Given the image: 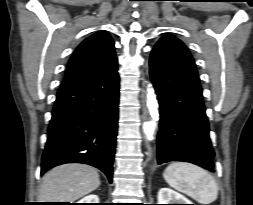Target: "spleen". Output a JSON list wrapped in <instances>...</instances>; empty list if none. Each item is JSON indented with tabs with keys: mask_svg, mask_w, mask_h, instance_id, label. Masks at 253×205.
<instances>
[{
	"mask_svg": "<svg viewBox=\"0 0 253 205\" xmlns=\"http://www.w3.org/2000/svg\"><path fill=\"white\" fill-rule=\"evenodd\" d=\"M166 182L200 204H210L218 197L215 179L201 167L187 162H173L164 171Z\"/></svg>",
	"mask_w": 253,
	"mask_h": 205,
	"instance_id": "1",
	"label": "spleen"
}]
</instances>
